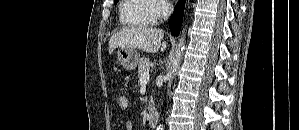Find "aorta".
I'll return each instance as SVG.
<instances>
[{"label":"aorta","mask_w":299,"mask_h":130,"mask_svg":"<svg viewBox=\"0 0 299 130\" xmlns=\"http://www.w3.org/2000/svg\"><path fill=\"white\" fill-rule=\"evenodd\" d=\"M184 42H185V38L183 36L179 39V43L176 47L174 57L171 61V65H170V68H169L168 73H167L168 87H171L172 81H173V79H174V77H175V75H176V73L179 69L181 59H182V56H183ZM157 130H163V126L160 124L158 126Z\"/></svg>","instance_id":"obj_1"}]
</instances>
